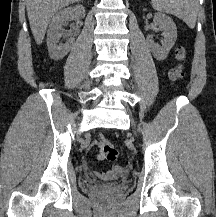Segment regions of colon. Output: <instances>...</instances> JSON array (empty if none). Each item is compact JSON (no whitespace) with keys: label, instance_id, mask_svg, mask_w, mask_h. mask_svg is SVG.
<instances>
[{"label":"colon","instance_id":"obj_1","mask_svg":"<svg viewBox=\"0 0 216 217\" xmlns=\"http://www.w3.org/2000/svg\"><path fill=\"white\" fill-rule=\"evenodd\" d=\"M176 57L180 64L170 70L169 76L173 82H177L183 78L184 72L182 67V62L186 58V50L183 46H179L176 50ZM97 146L99 148L98 157L102 161L112 162L118 157V150L114 144L106 137H100Z\"/></svg>","mask_w":216,"mask_h":217}]
</instances>
